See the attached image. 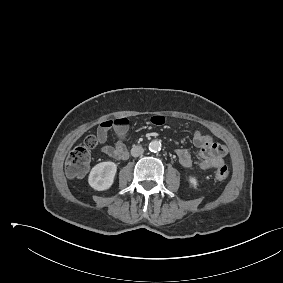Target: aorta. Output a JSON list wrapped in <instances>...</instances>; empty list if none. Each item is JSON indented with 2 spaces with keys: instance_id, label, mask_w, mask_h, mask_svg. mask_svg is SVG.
<instances>
[{
  "instance_id": "obj_1",
  "label": "aorta",
  "mask_w": 283,
  "mask_h": 283,
  "mask_svg": "<svg viewBox=\"0 0 283 283\" xmlns=\"http://www.w3.org/2000/svg\"><path fill=\"white\" fill-rule=\"evenodd\" d=\"M149 151L153 153H157L161 150V143L157 140H153L149 143Z\"/></svg>"
}]
</instances>
